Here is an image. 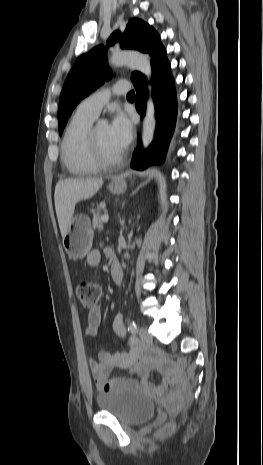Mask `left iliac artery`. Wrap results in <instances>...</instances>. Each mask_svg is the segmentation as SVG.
I'll use <instances>...</instances> for the list:
<instances>
[{
	"mask_svg": "<svg viewBox=\"0 0 263 465\" xmlns=\"http://www.w3.org/2000/svg\"><path fill=\"white\" fill-rule=\"evenodd\" d=\"M128 330H129L133 335H135V334L138 332L137 324H136L134 321H132V322L129 324Z\"/></svg>",
	"mask_w": 263,
	"mask_h": 465,
	"instance_id": "1",
	"label": "left iliac artery"
}]
</instances>
